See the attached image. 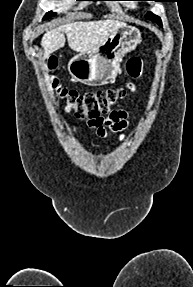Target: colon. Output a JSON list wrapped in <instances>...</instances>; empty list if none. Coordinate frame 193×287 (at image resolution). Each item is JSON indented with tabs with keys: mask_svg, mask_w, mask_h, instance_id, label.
<instances>
[{
	"mask_svg": "<svg viewBox=\"0 0 193 287\" xmlns=\"http://www.w3.org/2000/svg\"><path fill=\"white\" fill-rule=\"evenodd\" d=\"M50 68L56 67V60L51 59ZM129 76L136 80L143 74V58L133 57L126 62ZM50 86L56 96L62 100L68 110L77 116L89 120H101L112 112V108L122 100L128 92H134L135 83L131 82L124 88L107 89L80 94L75 90L61 86L56 78L50 79Z\"/></svg>",
	"mask_w": 193,
	"mask_h": 287,
	"instance_id": "1",
	"label": "colon"
}]
</instances>
